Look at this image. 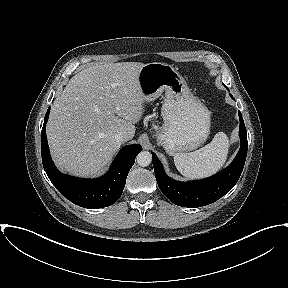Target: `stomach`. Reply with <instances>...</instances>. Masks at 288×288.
Instances as JSON below:
<instances>
[{"label": "stomach", "instance_id": "1", "mask_svg": "<svg viewBox=\"0 0 288 288\" xmlns=\"http://www.w3.org/2000/svg\"><path fill=\"white\" fill-rule=\"evenodd\" d=\"M138 82L145 102L164 93V124L156 139L169 155L190 152L204 144L210 133V111L193 95L176 68L161 62L147 63L138 73Z\"/></svg>", "mask_w": 288, "mask_h": 288}]
</instances>
